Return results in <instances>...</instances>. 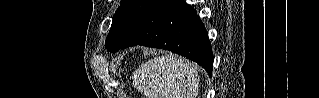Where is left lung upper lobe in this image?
Here are the masks:
<instances>
[{"label":"left lung upper lobe","mask_w":319,"mask_h":98,"mask_svg":"<svg viewBox=\"0 0 319 98\" xmlns=\"http://www.w3.org/2000/svg\"><path fill=\"white\" fill-rule=\"evenodd\" d=\"M157 0H122L113 16L105 47L110 52L121 48L137 31Z\"/></svg>","instance_id":"1"}]
</instances>
